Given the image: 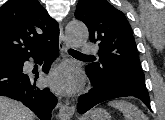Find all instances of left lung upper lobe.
Segmentation results:
<instances>
[{
    "instance_id": "5c2ea615",
    "label": "left lung upper lobe",
    "mask_w": 165,
    "mask_h": 120,
    "mask_svg": "<svg viewBox=\"0 0 165 120\" xmlns=\"http://www.w3.org/2000/svg\"><path fill=\"white\" fill-rule=\"evenodd\" d=\"M75 17L88 27L90 41L99 42V62L86 66L93 85L100 89L147 91L132 29L124 13L106 0H79Z\"/></svg>"
}]
</instances>
